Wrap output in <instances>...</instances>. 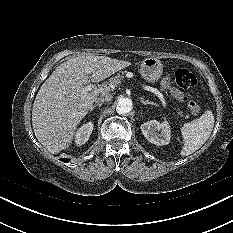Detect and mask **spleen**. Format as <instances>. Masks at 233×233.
<instances>
[{
	"mask_svg": "<svg viewBox=\"0 0 233 233\" xmlns=\"http://www.w3.org/2000/svg\"><path fill=\"white\" fill-rule=\"evenodd\" d=\"M214 127V115L207 109L198 119L185 123L181 127L183 147L181 156H189L197 151L210 137Z\"/></svg>",
	"mask_w": 233,
	"mask_h": 233,
	"instance_id": "spleen-1",
	"label": "spleen"
}]
</instances>
